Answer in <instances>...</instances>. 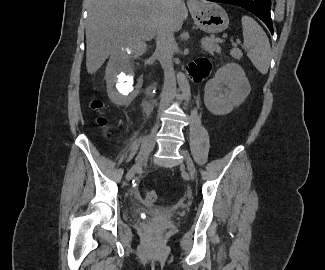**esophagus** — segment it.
<instances>
[{
  "instance_id": "obj_1",
  "label": "esophagus",
  "mask_w": 325,
  "mask_h": 270,
  "mask_svg": "<svg viewBox=\"0 0 325 270\" xmlns=\"http://www.w3.org/2000/svg\"><path fill=\"white\" fill-rule=\"evenodd\" d=\"M187 5L189 8H194L198 5V1L197 0H187Z\"/></svg>"
}]
</instances>
